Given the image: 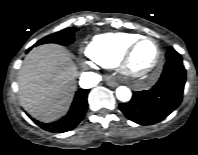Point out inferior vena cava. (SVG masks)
I'll use <instances>...</instances> for the list:
<instances>
[{
	"label": "inferior vena cava",
	"mask_w": 198,
	"mask_h": 155,
	"mask_svg": "<svg viewBox=\"0 0 198 155\" xmlns=\"http://www.w3.org/2000/svg\"><path fill=\"white\" fill-rule=\"evenodd\" d=\"M101 80L100 75L93 72H83L80 77V85L89 88L94 87Z\"/></svg>",
	"instance_id": "obj_1"
}]
</instances>
